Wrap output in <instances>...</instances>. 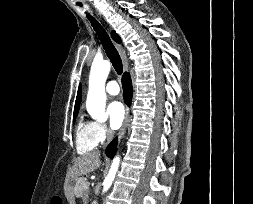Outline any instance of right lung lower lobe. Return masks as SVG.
I'll return each instance as SVG.
<instances>
[{"instance_id":"1","label":"right lung lower lobe","mask_w":253,"mask_h":204,"mask_svg":"<svg viewBox=\"0 0 253 204\" xmlns=\"http://www.w3.org/2000/svg\"><path fill=\"white\" fill-rule=\"evenodd\" d=\"M123 97L127 105H130L132 98V82L129 73H125L122 77ZM117 139H114L106 148V155L113 158L116 152Z\"/></svg>"}]
</instances>
